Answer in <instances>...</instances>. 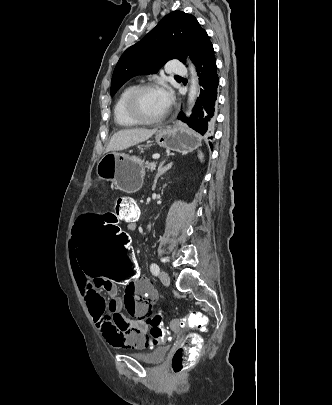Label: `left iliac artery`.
I'll use <instances>...</instances> for the list:
<instances>
[{
    "instance_id": "1",
    "label": "left iliac artery",
    "mask_w": 332,
    "mask_h": 405,
    "mask_svg": "<svg viewBox=\"0 0 332 405\" xmlns=\"http://www.w3.org/2000/svg\"><path fill=\"white\" fill-rule=\"evenodd\" d=\"M150 270H151L152 274L155 276H157L160 272V268L156 263H152L150 265Z\"/></svg>"
}]
</instances>
